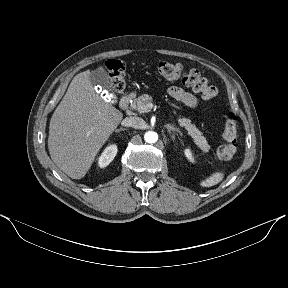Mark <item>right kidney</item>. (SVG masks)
Instances as JSON below:
<instances>
[{"label": "right kidney", "mask_w": 288, "mask_h": 288, "mask_svg": "<svg viewBox=\"0 0 288 288\" xmlns=\"http://www.w3.org/2000/svg\"><path fill=\"white\" fill-rule=\"evenodd\" d=\"M117 154V146L110 145L105 148L101 156L99 157L98 164L101 168L109 165V163L114 159Z\"/></svg>", "instance_id": "1"}]
</instances>
